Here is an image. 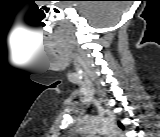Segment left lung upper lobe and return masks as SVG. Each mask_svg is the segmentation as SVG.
Segmentation results:
<instances>
[{
  "instance_id": "obj_1",
  "label": "left lung upper lobe",
  "mask_w": 160,
  "mask_h": 137,
  "mask_svg": "<svg viewBox=\"0 0 160 137\" xmlns=\"http://www.w3.org/2000/svg\"><path fill=\"white\" fill-rule=\"evenodd\" d=\"M119 126H120L121 128H123V126H122V124H121V123H119Z\"/></svg>"
}]
</instances>
